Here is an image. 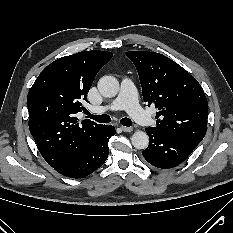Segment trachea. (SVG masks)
Wrapping results in <instances>:
<instances>
[{
  "instance_id": "obj_1",
  "label": "trachea",
  "mask_w": 233,
  "mask_h": 233,
  "mask_svg": "<svg viewBox=\"0 0 233 233\" xmlns=\"http://www.w3.org/2000/svg\"><path fill=\"white\" fill-rule=\"evenodd\" d=\"M86 115L88 118L90 119H93L95 121H97L98 123H109L111 122V117L107 114H103V115H92L91 113L89 112H86ZM120 123L123 125V126H131L132 125V121L129 119V118H122L120 120Z\"/></svg>"
}]
</instances>
